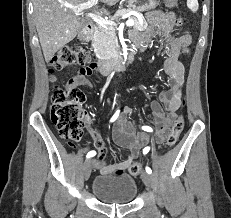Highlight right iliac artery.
Returning <instances> with one entry per match:
<instances>
[{
  "instance_id": "obj_1",
  "label": "right iliac artery",
  "mask_w": 231,
  "mask_h": 218,
  "mask_svg": "<svg viewBox=\"0 0 231 218\" xmlns=\"http://www.w3.org/2000/svg\"><path fill=\"white\" fill-rule=\"evenodd\" d=\"M119 115V110L116 111V113L113 115V117L111 118V122L115 121L117 119ZM96 155V152L95 151H90L88 154H87V158H90V157H93Z\"/></svg>"
}]
</instances>
